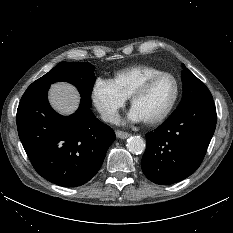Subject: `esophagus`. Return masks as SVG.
Instances as JSON below:
<instances>
[{
    "instance_id": "1",
    "label": "esophagus",
    "mask_w": 233,
    "mask_h": 233,
    "mask_svg": "<svg viewBox=\"0 0 233 233\" xmlns=\"http://www.w3.org/2000/svg\"><path fill=\"white\" fill-rule=\"evenodd\" d=\"M115 133H116V136L120 139H126V138L130 137L129 133L121 131V130H116Z\"/></svg>"
}]
</instances>
